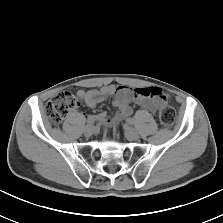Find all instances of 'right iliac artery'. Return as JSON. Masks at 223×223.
<instances>
[{
	"label": "right iliac artery",
	"mask_w": 223,
	"mask_h": 223,
	"mask_svg": "<svg viewBox=\"0 0 223 223\" xmlns=\"http://www.w3.org/2000/svg\"><path fill=\"white\" fill-rule=\"evenodd\" d=\"M95 121H96L95 117H94V116H90V117L87 119L86 126H87V125H92Z\"/></svg>",
	"instance_id": "1"
}]
</instances>
